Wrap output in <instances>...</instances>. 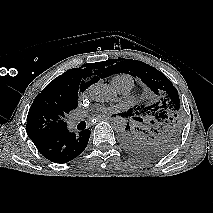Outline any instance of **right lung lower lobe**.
<instances>
[{"label": "right lung lower lobe", "instance_id": "right-lung-lower-lobe-1", "mask_svg": "<svg viewBox=\"0 0 213 213\" xmlns=\"http://www.w3.org/2000/svg\"><path fill=\"white\" fill-rule=\"evenodd\" d=\"M90 130L71 133L68 129L48 135L34 136L32 142L38 151L54 163H66L76 158L86 148Z\"/></svg>", "mask_w": 213, "mask_h": 213}]
</instances>
